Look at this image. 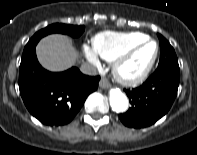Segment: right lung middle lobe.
<instances>
[{
    "label": "right lung middle lobe",
    "mask_w": 197,
    "mask_h": 155,
    "mask_svg": "<svg viewBox=\"0 0 197 155\" xmlns=\"http://www.w3.org/2000/svg\"><path fill=\"white\" fill-rule=\"evenodd\" d=\"M84 29V26L66 25L61 23L49 25L46 28L41 29L34 34V36L26 44L23 54H26L28 51L35 48L39 40L48 34L62 33L70 35L72 37H79L83 33Z\"/></svg>",
    "instance_id": "obj_1"
}]
</instances>
